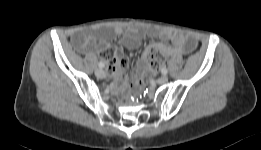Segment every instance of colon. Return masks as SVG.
Instances as JSON below:
<instances>
[{
  "mask_svg": "<svg viewBox=\"0 0 261 150\" xmlns=\"http://www.w3.org/2000/svg\"><path fill=\"white\" fill-rule=\"evenodd\" d=\"M147 67L143 68L136 80L135 87H140L163 64L164 53L160 47L153 46L147 52Z\"/></svg>",
  "mask_w": 261,
  "mask_h": 150,
  "instance_id": "obj_1",
  "label": "colon"
}]
</instances>
